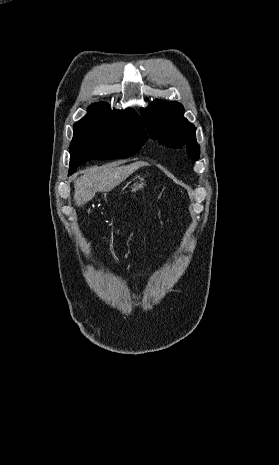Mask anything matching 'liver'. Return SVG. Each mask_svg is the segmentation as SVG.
<instances>
[{
	"label": "liver",
	"mask_w": 279,
	"mask_h": 465,
	"mask_svg": "<svg viewBox=\"0 0 279 465\" xmlns=\"http://www.w3.org/2000/svg\"><path fill=\"white\" fill-rule=\"evenodd\" d=\"M146 162H135L124 166L111 164L86 169L74 182L75 205L83 206L97 192H109L122 183L127 177L141 167L148 166Z\"/></svg>",
	"instance_id": "obj_1"
}]
</instances>
